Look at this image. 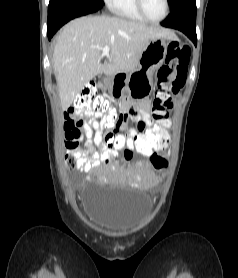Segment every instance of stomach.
<instances>
[{
  "label": "stomach",
  "mask_w": 238,
  "mask_h": 278,
  "mask_svg": "<svg viewBox=\"0 0 238 278\" xmlns=\"http://www.w3.org/2000/svg\"><path fill=\"white\" fill-rule=\"evenodd\" d=\"M168 43L166 38L151 40L142 52L138 66L119 69V73L104 79V87L112 99L149 96L153 91V73L165 61ZM127 89V90H126Z\"/></svg>",
  "instance_id": "1"
}]
</instances>
